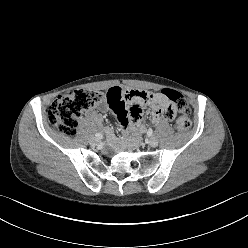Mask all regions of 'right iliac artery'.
I'll return each instance as SVG.
<instances>
[{"mask_svg": "<svg viewBox=\"0 0 248 248\" xmlns=\"http://www.w3.org/2000/svg\"><path fill=\"white\" fill-rule=\"evenodd\" d=\"M95 136H96L97 138H102V137H103V135L100 134V133H96Z\"/></svg>", "mask_w": 248, "mask_h": 248, "instance_id": "82829eb1", "label": "right iliac artery"}]
</instances>
